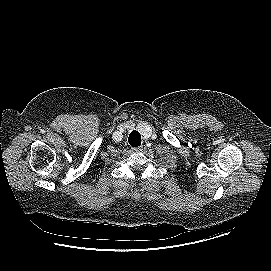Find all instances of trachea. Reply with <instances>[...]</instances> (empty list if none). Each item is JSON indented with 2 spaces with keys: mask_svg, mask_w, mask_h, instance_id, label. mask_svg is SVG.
Masks as SVG:
<instances>
[{
  "mask_svg": "<svg viewBox=\"0 0 271 271\" xmlns=\"http://www.w3.org/2000/svg\"><path fill=\"white\" fill-rule=\"evenodd\" d=\"M128 142L132 147L141 145V135L138 131H132L129 135Z\"/></svg>",
  "mask_w": 271,
  "mask_h": 271,
  "instance_id": "trachea-1",
  "label": "trachea"
}]
</instances>
